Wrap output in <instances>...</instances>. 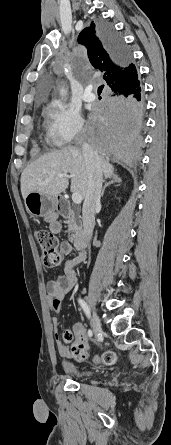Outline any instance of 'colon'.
Returning a JSON list of instances; mask_svg holds the SVG:
<instances>
[{"instance_id":"colon-1","label":"colon","mask_w":171,"mask_h":445,"mask_svg":"<svg viewBox=\"0 0 171 445\" xmlns=\"http://www.w3.org/2000/svg\"><path fill=\"white\" fill-rule=\"evenodd\" d=\"M36 238L40 245L43 254V264L47 268H56L62 263V255L58 250L57 237L47 230H38ZM63 340L71 342L72 333L65 331L63 333ZM72 354L77 360H84L87 355V349L83 344L74 343L71 347ZM95 361L105 365H112L117 361V356L112 351L104 352L100 357L95 358Z\"/></svg>"}]
</instances>
